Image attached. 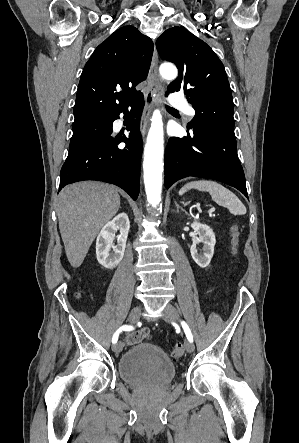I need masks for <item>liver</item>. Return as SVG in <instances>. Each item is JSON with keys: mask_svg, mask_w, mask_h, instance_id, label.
<instances>
[{"mask_svg": "<svg viewBox=\"0 0 299 443\" xmlns=\"http://www.w3.org/2000/svg\"><path fill=\"white\" fill-rule=\"evenodd\" d=\"M120 196L114 186L84 181L63 188L57 202L60 234L67 259L79 267L100 229L118 212Z\"/></svg>", "mask_w": 299, "mask_h": 443, "instance_id": "liver-1", "label": "liver"}]
</instances>
